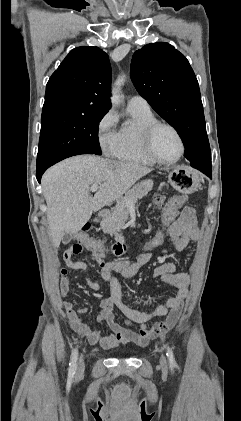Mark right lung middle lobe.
<instances>
[{
    "mask_svg": "<svg viewBox=\"0 0 241 421\" xmlns=\"http://www.w3.org/2000/svg\"><path fill=\"white\" fill-rule=\"evenodd\" d=\"M105 114L42 112L37 167L78 154L101 155L99 122Z\"/></svg>",
    "mask_w": 241,
    "mask_h": 421,
    "instance_id": "right-lung-middle-lobe-1",
    "label": "right lung middle lobe"
}]
</instances>
